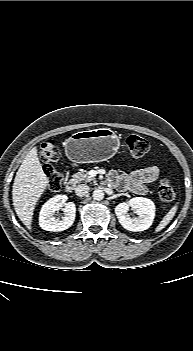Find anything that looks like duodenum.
Listing matches in <instances>:
<instances>
[{
	"label": "duodenum",
	"instance_id": "duodenum-1",
	"mask_svg": "<svg viewBox=\"0 0 193 351\" xmlns=\"http://www.w3.org/2000/svg\"><path fill=\"white\" fill-rule=\"evenodd\" d=\"M65 189L68 193H72L74 190V185L72 182H68L65 186Z\"/></svg>",
	"mask_w": 193,
	"mask_h": 351
}]
</instances>
